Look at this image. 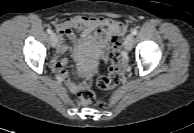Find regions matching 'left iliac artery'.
<instances>
[{"label": "left iliac artery", "instance_id": "44dca946", "mask_svg": "<svg viewBox=\"0 0 194 133\" xmlns=\"http://www.w3.org/2000/svg\"><path fill=\"white\" fill-rule=\"evenodd\" d=\"M137 33H138V30L136 28L132 30V35L133 36L136 35Z\"/></svg>", "mask_w": 194, "mask_h": 133}]
</instances>
